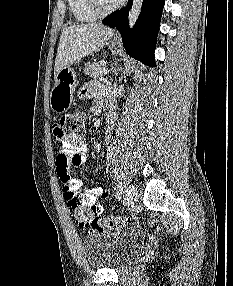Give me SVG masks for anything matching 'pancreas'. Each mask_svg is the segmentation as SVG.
<instances>
[{
  "label": "pancreas",
  "instance_id": "obj_1",
  "mask_svg": "<svg viewBox=\"0 0 233 286\" xmlns=\"http://www.w3.org/2000/svg\"><path fill=\"white\" fill-rule=\"evenodd\" d=\"M104 68H105L104 62H102V61L95 62V63L87 65L84 69V73L86 75H89L90 77H92L94 79H100L103 76L101 71Z\"/></svg>",
  "mask_w": 233,
  "mask_h": 286
}]
</instances>
